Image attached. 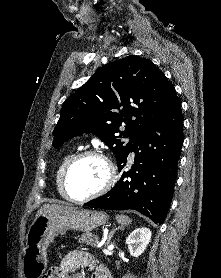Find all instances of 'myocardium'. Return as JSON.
<instances>
[{
	"mask_svg": "<svg viewBox=\"0 0 221 278\" xmlns=\"http://www.w3.org/2000/svg\"><path fill=\"white\" fill-rule=\"evenodd\" d=\"M84 157H96L100 159L106 166L107 176L103 185L98 190L83 198L76 199L73 198L68 192V186H67L68 174L73 164ZM115 180H116V168L113 162L102 152L89 149V150H83L77 152L76 154L72 155L70 159L67 161L61 176V188H62L63 195L67 200L73 203H85L106 193L114 185Z\"/></svg>",
	"mask_w": 221,
	"mask_h": 278,
	"instance_id": "obj_1",
	"label": "myocardium"
}]
</instances>
